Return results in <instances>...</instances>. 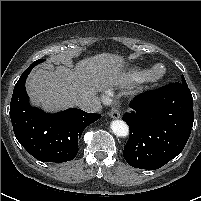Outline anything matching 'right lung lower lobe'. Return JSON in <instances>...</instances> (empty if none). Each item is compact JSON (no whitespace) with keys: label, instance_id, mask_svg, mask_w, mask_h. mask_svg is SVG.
<instances>
[{"label":"right lung lower lobe","instance_id":"1","mask_svg":"<svg viewBox=\"0 0 201 201\" xmlns=\"http://www.w3.org/2000/svg\"><path fill=\"white\" fill-rule=\"evenodd\" d=\"M30 65L16 83L10 103V118L19 143L37 160L61 163L78 153V139L83 130L101 115L70 108L47 114L29 104L25 89Z\"/></svg>","mask_w":201,"mask_h":201}]
</instances>
